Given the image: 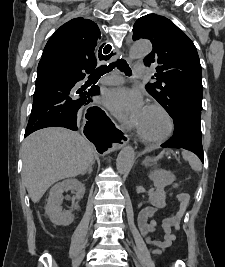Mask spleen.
Segmentation results:
<instances>
[{
	"mask_svg": "<svg viewBox=\"0 0 225 267\" xmlns=\"http://www.w3.org/2000/svg\"><path fill=\"white\" fill-rule=\"evenodd\" d=\"M182 156L183 158L189 162L191 168L195 171H200L201 170V163L199 159L192 153L188 151H182Z\"/></svg>",
	"mask_w": 225,
	"mask_h": 267,
	"instance_id": "obj_1",
	"label": "spleen"
}]
</instances>
